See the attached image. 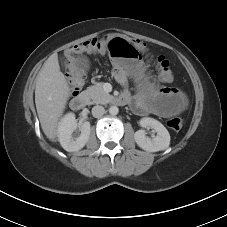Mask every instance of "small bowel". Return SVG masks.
<instances>
[{
    "label": "small bowel",
    "mask_w": 227,
    "mask_h": 227,
    "mask_svg": "<svg viewBox=\"0 0 227 227\" xmlns=\"http://www.w3.org/2000/svg\"><path fill=\"white\" fill-rule=\"evenodd\" d=\"M86 69V62L80 56L71 57L66 66V73L72 79L81 78ZM113 75L124 88L121 95L130 102L135 113L139 115L155 114L169 117L184 110L187 99L183 92L170 87L158 88L148 78L140 60L117 61ZM132 79L136 92L132 96L128 90V82Z\"/></svg>",
    "instance_id": "obj_1"
}]
</instances>
